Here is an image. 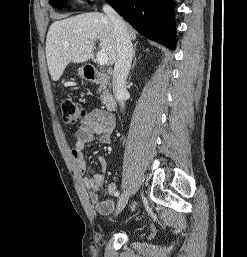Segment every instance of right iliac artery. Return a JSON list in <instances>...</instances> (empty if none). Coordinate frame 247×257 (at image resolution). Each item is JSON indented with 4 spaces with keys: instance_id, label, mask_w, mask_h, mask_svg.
Listing matches in <instances>:
<instances>
[{
    "instance_id": "obj_1",
    "label": "right iliac artery",
    "mask_w": 247,
    "mask_h": 257,
    "mask_svg": "<svg viewBox=\"0 0 247 257\" xmlns=\"http://www.w3.org/2000/svg\"><path fill=\"white\" fill-rule=\"evenodd\" d=\"M118 195H119V192L116 193V196H118Z\"/></svg>"
}]
</instances>
